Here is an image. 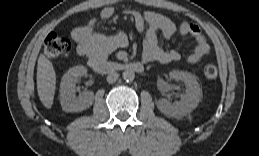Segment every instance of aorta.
Segmentation results:
<instances>
[{
  "label": "aorta",
  "mask_w": 259,
  "mask_h": 156,
  "mask_svg": "<svg viewBox=\"0 0 259 156\" xmlns=\"http://www.w3.org/2000/svg\"><path fill=\"white\" fill-rule=\"evenodd\" d=\"M122 77L126 82H132L135 78V73L133 70L127 69L123 72Z\"/></svg>",
  "instance_id": "obj_1"
}]
</instances>
